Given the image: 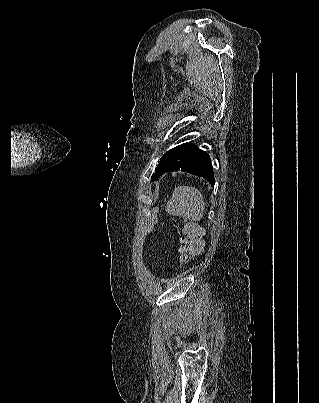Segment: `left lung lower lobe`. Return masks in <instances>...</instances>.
Instances as JSON below:
<instances>
[{"instance_id": "obj_1", "label": "left lung lower lobe", "mask_w": 319, "mask_h": 403, "mask_svg": "<svg viewBox=\"0 0 319 403\" xmlns=\"http://www.w3.org/2000/svg\"><path fill=\"white\" fill-rule=\"evenodd\" d=\"M173 171L201 176L214 186V173L210 157L194 144L183 143L178 147L164 173Z\"/></svg>"}]
</instances>
